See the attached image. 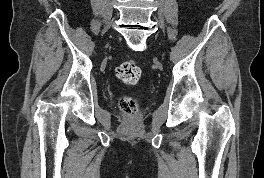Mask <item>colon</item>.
Instances as JSON below:
<instances>
[{"label": "colon", "instance_id": "obj_1", "mask_svg": "<svg viewBox=\"0 0 264 178\" xmlns=\"http://www.w3.org/2000/svg\"><path fill=\"white\" fill-rule=\"evenodd\" d=\"M115 74L123 83L134 85L141 76V68L135 61L126 60L116 68ZM119 107L128 115H134L138 110L137 102L130 97H122L119 100Z\"/></svg>", "mask_w": 264, "mask_h": 178}]
</instances>
